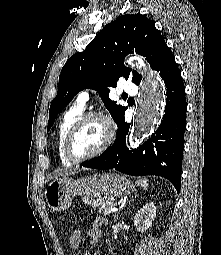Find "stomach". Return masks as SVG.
<instances>
[{"mask_svg": "<svg viewBox=\"0 0 221 255\" xmlns=\"http://www.w3.org/2000/svg\"><path fill=\"white\" fill-rule=\"evenodd\" d=\"M134 189L130 180L115 173L94 174L80 179L64 176L55 178L48 184L45 198L53 211H62L71 206L74 197L79 195L89 203L102 195L122 196Z\"/></svg>", "mask_w": 221, "mask_h": 255, "instance_id": "0dacf381", "label": "stomach"}]
</instances>
